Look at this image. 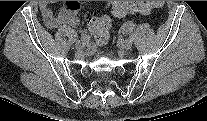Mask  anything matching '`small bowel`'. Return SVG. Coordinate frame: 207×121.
<instances>
[{"mask_svg":"<svg viewBox=\"0 0 207 121\" xmlns=\"http://www.w3.org/2000/svg\"><path fill=\"white\" fill-rule=\"evenodd\" d=\"M52 1H42L40 11L45 25L49 29H55L60 26L75 27L78 22V13L80 4L77 1H66L58 12H54L50 4ZM115 2H111V7Z\"/></svg>","mask_w":207,"mask_h":121,"instance_id":"1","label":"small bowel"}]
</instances>
